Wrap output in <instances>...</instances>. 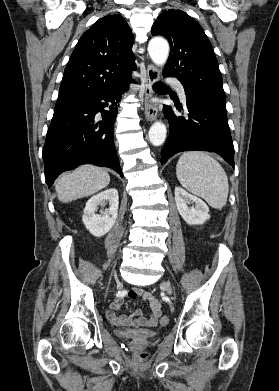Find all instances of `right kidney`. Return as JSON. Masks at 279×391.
<instances>
[{
	"mask_svg": "<svg viewBox=\"0 0 279 391\" xmlns=\"http://www.w3.org/2000/svg\"><path fill=\"white\" fill-rule=\"evenodd\" d=\"M109 203V208L105 211H100V214L95 212L99 205ZM119 196L115 188L104 190L92 196L86 203L82 221L89 232L96 236H104L114 225L118 215Z\"/></svg>",
	"mask_w": 279,
	"mask_h": 391,
	"instance_id": "ca27d5eb",
	"label": "right kidney"
}]
</instances>
